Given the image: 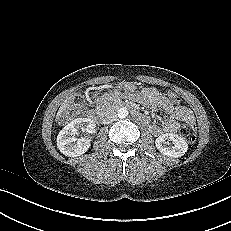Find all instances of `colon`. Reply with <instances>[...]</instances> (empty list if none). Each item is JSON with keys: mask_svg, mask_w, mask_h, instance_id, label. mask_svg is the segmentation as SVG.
<instances>
[{"mask_svg": "<svg viewBox=\"0 0 231 231\" xmlns=\"http://www.w3.org/2000/svg\"><path fill=\"white\" fill-rule=\"evenodd\" d=\"M168 100L173 104H179L180 98L175 92L168 93ZM84 99L81 95H76L73 97L69 105L64 111L59 115V121L61 123H66L72 118L78 116L83 108ZM180 135L188 142H193L197 136V128L194 123L186 122L181 125L179 129Z\"/></svg>", "mask_w": 231, "mask_h": 231, "instance_id": "1", "label": "colon"}]
</instances>
